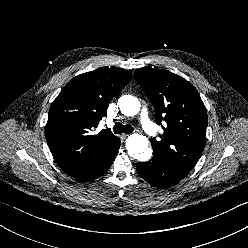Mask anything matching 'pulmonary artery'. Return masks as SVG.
I'll use <instances>...</instances> for the list:
<instances>
[{"label":"pulmonary artery","mask_w":248,"mask_h":248,"mask_svg":"<svg viewBox=\"0 0 248 248\" xmlns=\"http://www.w3.org/2000/svg\"><path fill=\"white\" fill-rule=\"evenodd\" d=\"M140 122H141V125H142L144 131L148 135L155 136L157 134V129H156L155 125L152 123V121L149 119L146 108H143V110L141 112Z\"/></svg>","instance_id":"e3ab8cb5"}]
</instances>
